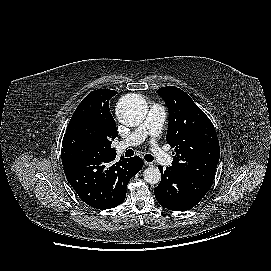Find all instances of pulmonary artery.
I'll list each match as a JSON object with an SVG mask.
<instances>
[{
  "mask_svg": "<svg viewBox=\"0 0 271 271\" xmlns=\"http://www.w3.org/2000/svg\"><path fill=\"white\" fill-rule=\"evenodd\" d=\"M166 118V110L161 105H153L146 119L141 123L130 135L129 137L120 142L116 149L118 152H123L128 147H133L141 144L146 139L150 138L151 151L155 160L163 166H169L172 163V158L162 150L156 144V138L159 136L163 122Z\"/></svg>",
  "mask_w": 271,
  "mask_h": 271,
  "instance_id": "e3ab8cb5",
  "label": "pulmonary artery"
}]
</instances>
